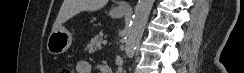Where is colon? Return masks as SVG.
<instances>
[{
	"label": "colon",
	"mask_w": 244,
	"mask_h": 73,
	"mask_svg": "<svg viewBox=\"0 0 244 73\" xmlns=\"http://www.w3.org/2000/svg\"><path fill=\"white\" fill-rule=\"evenodd\" d=\"M61 73H73L72 69L69 66H64L61 68Z\"/></svg>",
	"instance_id": "colon-1"
}]
</instances>
